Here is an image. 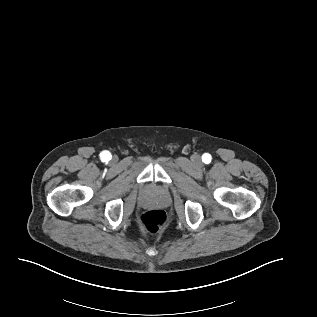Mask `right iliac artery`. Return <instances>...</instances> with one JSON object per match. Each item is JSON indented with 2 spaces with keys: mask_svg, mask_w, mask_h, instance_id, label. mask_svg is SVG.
I'll use <instances>...</instances> for the list:
<instances>
[{
  "mask_svg": "<svg viewBox=\"0 0 317 317\" xmlns=\"http://www.w3.org/2000/svg\"><path fill=\"white\" fill-rule=\"evenodd\" d=\"M100 157H101L102 161H109L111 159V155H110V153L108 151H103L100 154Z\"/></svg>",
  "mask_w": 317,
  "mask_h": 317,
  "instance_id": "right-iliac-artery-1",
  "label": "right iliac artery"
}]
</instances>
